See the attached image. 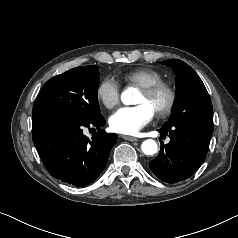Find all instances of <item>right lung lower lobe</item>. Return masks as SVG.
<instances>
[{
  "label": "right lung lower lobe",
  "mask_w": 238,
  "mask_h": 238,
  "mask_svg": "<svg viewBox=\"0 0 238 238\" xmlns=\"http://www.w3.org/2000/svg\"><path fill=\"white\" fill-rule=\"evenodd\" d=\"M101 116L90 122L67 116H32V138L48 172L74 186L93 182L104 169L117 135L100 128ZM85 127H96L92 140Z\"/></svg>",
  "instance_id": "obj_1"
}]
</instances>
